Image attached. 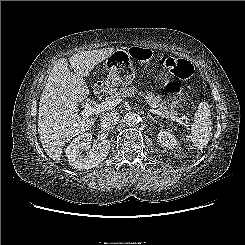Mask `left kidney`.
Returning a JSON list of instances; mask_svg holds the SVG:
<instances>
[{"label":"left kidney","instance_id":"obj_1","mask_svg":"<svg viewBox=\"0 0 245 245\" xmlns=\"http://www.w3.org/2000/svg\"><path fill=\"white\" fill-rule=\"evenodd\" d=\"M158 139L162 146L169 149L178 144L175 136L170 131L161 130L158 134Z\"/></svg>","mask_w":245,"mask_h":245}]
</instances>
